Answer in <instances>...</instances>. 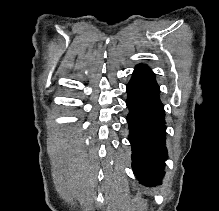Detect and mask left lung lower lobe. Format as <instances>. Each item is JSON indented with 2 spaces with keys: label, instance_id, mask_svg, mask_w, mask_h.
<instances>
[{
  "label": "left lung lower lobe",
  "instance_id": "obj_1",
  "mask_svg": "<svg viewBox=\"0 0 219 211\" xmlns=\"http://www.w3.org/2000/svg\"><path fill=\"white\" fill-rule=\"evenodd\" d=\"M129 109V141L132 145V167L140 183L149 184L164 176L167 159L164 105L155 74L145 64L135 67L126 87Z\"/></svg>",
  "mask_w": 219,
  "mask_h": 211
}]
</instances>
